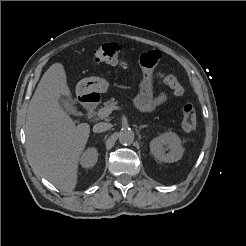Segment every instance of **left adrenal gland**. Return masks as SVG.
<instances>
[{
  "instance_id": "1",
  "label": "left adrenal gland",
  "mask_w": 246,
  "mask_h": 246,
  "mask_svg": "<svg viewBox=\"0 0 246 246\" xmlns=\"http://www.w3.org/2000/svg\"><path fill=\"white\" fill-rule=\"evenodd\" d=\"M145 127H147V125H142V126L139 127V129H142V128H145Z\"/></svg>"
}]
</instances>
